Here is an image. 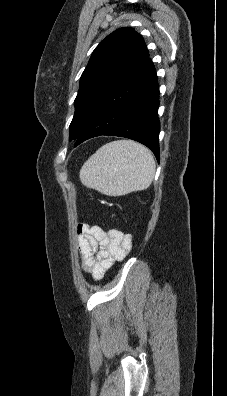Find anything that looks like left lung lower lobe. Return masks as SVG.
<instances>
[{"instance_id": "1", "label": "left lung lower lobe", "mask_w": 227, "mask_h": 396, "mask_svg": "<svg viewBox=\"0 0 227 396\" xmlns=\"http://www.w3.org/2000/svg\"><path fill=\"white\" fill-rule=\"evenodd\" d=\"M159 87L148 57L98 104L75 146L101 135L121 136L147 146L159 161Z\"/></svg>"}]
</instances>
